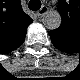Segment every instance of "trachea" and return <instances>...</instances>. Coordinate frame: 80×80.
I'll return each mask as SVG.
<instances>
[{
	"label": "trachea",
	"instance_id": "obj_1",
	"mask_svg": "<svg viewBox=\"0 0 80 80\" xmlns=\"http://www.w3.org/2000/svg\"><path fill=\"white\" fill-rule=\"evenodd\" d=\"M29 8L33 11H38L41 8V2L39 0H30Z\"/></svg>",
	"mask_w": 80,
	"mask_h": 80
}]
</instances>
